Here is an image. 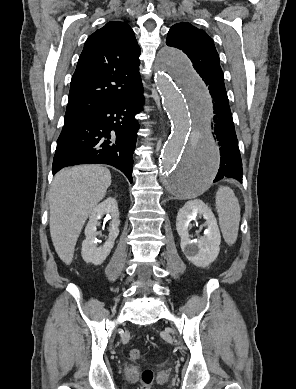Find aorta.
Here are the masks:
<instances>
[{
	"instance_id": "1",
	"label": "aorta",
	"mask_w": 296,
	"mask_h": 389,
	"mask_svg": "<svg viewBox=\"0 0 296 389\" xmlns=\"http://www.w3.org/2000/svg\"><path fill=\"white\" fill-rule=\"evenodd\" d=\"M155 82L171 121V134L160 157L164 189L188 198L207 189L220 158L211 130L213 94L180 50L163 48L157 58Z\"/></svg>"
}]
</instances>
